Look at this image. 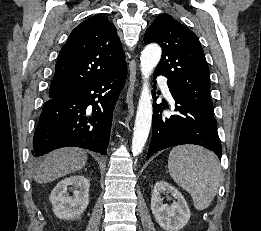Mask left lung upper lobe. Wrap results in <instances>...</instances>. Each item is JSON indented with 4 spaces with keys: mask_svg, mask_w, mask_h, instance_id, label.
<instances>
[{
    "mask_svg": "<svg viewBox=\"0 0 261 231\" xmlns=\"http://www.w3.org/2000/svg\"><path fill=\"white\" fill-rule=\"evenodd\" d=\"M144 41L161 46L162 57L154 74L168 79L170 92L213 112L209 69L197 36L172 16L161 14L147 29Z\"/></svg>",
    "mask_w": 261,
    "mask_h": 231,
    "instance_id": "5c2ea615",
    "label": "left lung upper lobe"
}]
</instances>
